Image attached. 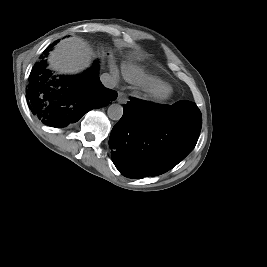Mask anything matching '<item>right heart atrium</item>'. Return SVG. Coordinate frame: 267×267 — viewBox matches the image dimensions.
<instances>
[{"instance_id":"right-heart-atrium-1","label":"right heart atrium","mask_w":267,"mask_h":267,"mask_svg":"<svg viewBox=\"0 0 267 267\" xmlns=\"http://www.w3.org/2000/svg\"><path fill=\"white\" fill-rule=\"evenodd\" d=\"M110 68H111V72L113 73V75L117 76V69L113 62L111 63Z\"/></svg>"}]
</instances>
